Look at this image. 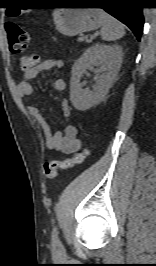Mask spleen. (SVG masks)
<instances>
[{"mask_svg":"<svg viewBox=\"0 0 156 266\" xmlns=\"http://www.w3.org/2000/svg\"><path fill=\"white\" fill-rule=\"evenodd\" d=\"M102 20L101 38L104 41H115L125 35L123 25L103 10H99Z\"/></svg>","mask_w":156,"mask_h":266,"instance_id":"obj_1","label":"spleen"}]
</instances>
